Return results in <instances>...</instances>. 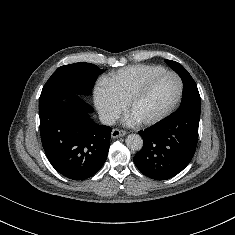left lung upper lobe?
Returning <instances> with one entry per match:
<instances>
[{
	"label": "left lung upper lobe",
	"mask_w": 235,
	"mask_h": 235,
	"mask_svg": "<svg viewBox=\"0 0 235 235\" xmlns=\"http://www.w3.org/2000/svg\"><path fill=\"white\" fill-rule=\"evenodd\" d=\"M165 62L181 77L183 82L182 102L178 111L185 109L199 110L201 108V99L197 85L187 70L178 62L165 60Z\"/></svg>",
	"instance_id": "5c2ea615"
}]
</instances>
